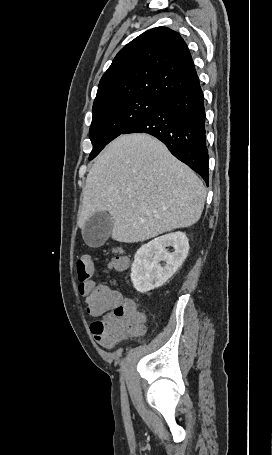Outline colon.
Returning a JSON list of instances; mask_svg holds the SVG:
<instances>
[{
    "instance_id": "1",
    "label": "colon",
    "mask_w": 272,
    "mask_h": 455,
    "mask_svg": "<svg viewBox=\"0 0 272 455\" xmlns=\"http://www.w3.org/2000/svg\"><path fill=\"white\" fill-rule=\"evenodd\" d=\"M114 257L110 267L122 270L127 265L126 258L120 249H113ZM94 261L88 255L77 260L78 290L84 298L87 311L97 319L91 324L95 340L104 347H112L121 338L137 335L143 331L142 315L136 305L123 300L121 295L107 285L97 284L92 280Z\"/></svg>"
}]
</instances>
